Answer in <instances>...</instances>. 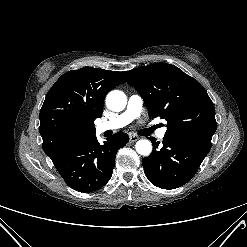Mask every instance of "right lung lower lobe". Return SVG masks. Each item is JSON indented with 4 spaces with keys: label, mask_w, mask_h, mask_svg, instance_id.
Wrapping results in <instances>:
<instances>
[{
    "label": "right lung lower lobe",
    "mask_w": 247,
    "mask_h": 247,
    "mask_svg": "<svg viewBox=\"0 0 247 247\" xmlns=\"http://www.w3.org/2000/svg\"><path fill=\"white\" fill-rule=\"evenodd\" d=\"M128 141L127 136L116 133L101 145L94 135L74 144L53 164L71 188L93 192L110 180L116 153Z\"/></svg>",
    "instance_id": "obj_1"
}]
</instances>
